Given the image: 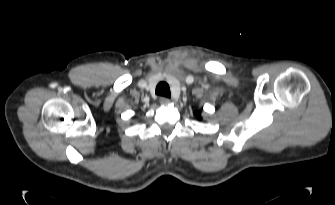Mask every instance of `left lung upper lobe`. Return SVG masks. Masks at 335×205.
I'll return each mask as SVG.
<instances>
[{"mask_svg": "<svg viewBox=\"0 0 335 205\" xmlns=\"http://www.w3.org/2000/svg\"><path fill=\"white\" fill-rule=\"evenodd\" d=\"M196 116H197V118H199V119H200V115H199V113H198V112L196 113Z\"/></svg>", "mask_w": 335, "mask_h": 205, "instance_id": "left-lung-upper-lobe-1", "label": "left lung upper lobe"}]
</instances>
